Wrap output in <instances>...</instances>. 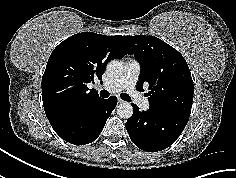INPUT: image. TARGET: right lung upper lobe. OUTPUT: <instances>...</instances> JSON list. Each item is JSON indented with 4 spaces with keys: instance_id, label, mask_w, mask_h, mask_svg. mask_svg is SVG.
<instances>
[{
    "instance_id": "1",
    "label": "right lung upper lobe",
    "mask_w": 236,
    "mask_h": 178,
    "mask_svg": "<svg viewBox=\"0 0 236 178\" xmlns=\"http://www.w3.org/2000/svg\"><path fill=\"white\" fill-rule=\"evenodd\" d=\"M130 52L121 35L78 33L61 42L51 53L42 77L43 106L51 126L84 113L101 100L87 83L101 80L110 60Z\"/></svg>"
}]
</instances>
